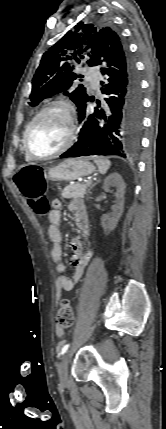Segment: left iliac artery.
Returning <instances> with one entry per match:
<instances>
[{
  "label": "left iliac artery",
  "instance_id": "left-iliac-artery-1",
  "mask_svg": "<svg viewBox=\"0 0 166 429\" xmlns=\"http://www.w3.org/2000/svg\"><path fill=\"white\" fill-rule=\"evenodd\" d=\"M70 344H66L63 346V348L61 349L60 355H64L66 353V351L68 350Z\"/></svg>",
  "mask_w": 166,
  "mask_h": 429
}]
</instances>
